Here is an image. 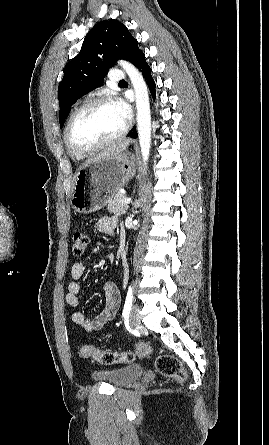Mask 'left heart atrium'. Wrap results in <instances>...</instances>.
Here are the masks:
<instances>
[{"label":"left heart atrium","instance_id":"left-heart-atrium-1","mask_svg":"<svg viewBox=\"0 0 269 445\" xmlns=\"http://www.w3.org/2000/svg\"><path fill=\"white\" fill-rule=\"evenodd\" d=\"M113 105L117 109V111L121 114V116L124 118V120L127 122L130 119L131 115L128 105L121 100L113 101Z\"/></svg>","mask_w":269,"mask_h":445}]
</instances>
